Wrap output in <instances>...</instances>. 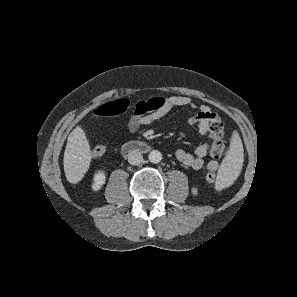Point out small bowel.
Instances as JSON below:
<instances>
[{
    "mask_svg": "<svg viewBox=\"0 0 297 297\" xmlns=\"http://www.w3.org/2000/svg\"><path fill=\"white\" fill-rule=\"evenodd\" d=\"M146 102L149 107L148 110L141 115L134 113L131 117L128 124V128L131 132L137 131L141 125H148L162 118L175 107H187L197 110V112L189 118L188 124L192 127H196L198 132L203 136L208 135L210 132V119L214 113L206 105L197 106L192 98L188 96L153 97L146 100ZM207 154L208 145L202 143L196 147L194 154L188 153L183 149H178L175 155L181 164L193 170L197 171L203 168H206L210 172L219 170L220 163L218 161L210 160L205 162L204 158Z\"/></svg>",
    "mask_w": 297,
    "mask_h": 297,
    "instance_id": "obj_1",
    "label": "small bowel"
}]
</instances>
